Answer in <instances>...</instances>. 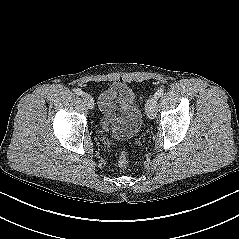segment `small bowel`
I'll use <instances>...</instances> for the list:
<instances>
[{"label": "small bowel", "instance_id": "small-bowel-1", "mask_svg": "<svg viewBox=\"0 0 239 239\" xmlns=\"http://www.w3.org/2000/svg\"><path fill=\"white\" fill-rule=\"evenodd\" d=\"M116 92L114 88H108L99 96V107L103 112V125L107 127L117 106L114 103Z\"/></svg>", "mask_w": 239, "mask_h": 239}]
</instances>
